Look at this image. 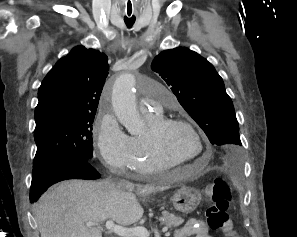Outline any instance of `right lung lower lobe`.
I'll list each match as a JSON object with an SVG mask.
<instances>
[{
    "label": "right lung lower lobe",
    "instance_id": "right-lung-lower-lobe-1",
    "mask_svg": "<svg viewBox=\"0 0 297 237\" xmlns=\"http://www.w3.org/2000/svg\"><path fill=\"white\" fill-rule=\"evenodd\" d=\"M101 175L85 159L62 158L43 169L42 175L32 178L30 201H36L53 184L69 180H96Z\"/></svg>",
    "mask_w": 297,
    "mask_h": 237
}]
</instances>
